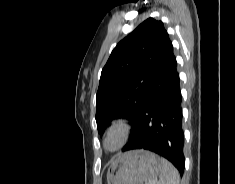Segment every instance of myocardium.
<instances>
[{
  "mask_svg": "<svg viewBox=\"0 0 235 184\" xmlns=\"http://www.w3.org/2000/svg\"><path fill=\"white\" fill-rule=\"evenodd\" d=\"M133 123L127 116H118L114 118L105 129L101 137V148L109 154L118 153L132 135ZM110 135H115L117 139L116 146L113 149L106 148L105 142Z\"/></svg>",
  "mask_w": 235,
  "mask_h": 184,
  "instance_id": "1",
  "label": "myocardium"
}]
</instances>
